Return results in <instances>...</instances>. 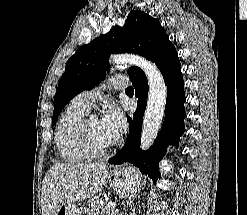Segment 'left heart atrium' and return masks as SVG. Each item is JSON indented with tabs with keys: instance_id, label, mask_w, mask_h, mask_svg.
Masks as SVG:
<instances>
[{
	"instance_id": "obj_1",
	"label": "left heart atrium",
	"mask_w": 247,
	"mask_h": 215,
	"mask_svg": "<svg viewBox=\"0 0 247 215\" xmlns=\"http://www.w3.org/2000/svg\"><path fill=\"white\" fill-rule=\"evenodd\" d=\"M101 127L111 143L117 141L126 130V120L117 107L110 106L100 120Z\"/></svg>"
}]
</instances>
